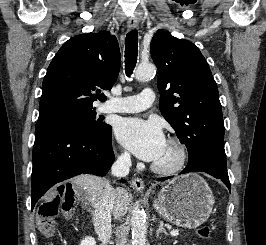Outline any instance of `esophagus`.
<instances>
[{
    "mask_svg": "<svg viewBox=\"0 0 266 245\" xmlns=\"http://www.w3.org/2000/svg\"><path fill=\"white\" fill-rule=\"evenodd\" d=\"M138 25V20L135 17H130L127 22V28L128 30H134ZM132 187L138 192V193H144V182L141 178L135 177L131 181Z\"/></svg>",
    "mask_w": 266,
    "mask_h": 245,
    "instance_id": "1",
    "label": "esophagus"
}]
</instances>
